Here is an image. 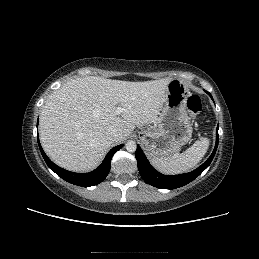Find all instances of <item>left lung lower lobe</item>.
Instances as JSON below:
<instances>
[{"instance_id": "1", "label": "left lung lower lobe", "mask_w": 259, "mask_h": 259, "mask_svg": "<svg viewBox=\"0 0 259 259\" xmlns=\"http://www.w3.org/2000/svg\"><path fill=\"white\" fill-rule=\"evenodd\" d=\"M211 98V94L205 91ZM218 127L216 130V144L211 156L200 167L192 172L180 175L167 176L156 171L147 160L140 146H137L135 157L138 163V169L143 180L157 188L175 189L182 187L197 178L211 163L218 147Z\"/></svg>"}]
</instances>
